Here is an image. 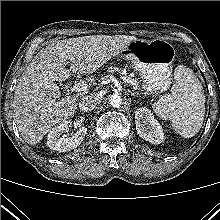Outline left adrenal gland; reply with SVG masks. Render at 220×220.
Instances as JSON below:
<instances>
[{
    "label": "left adrenal gland",
    "mask_w": 220,
    "mask_h": 220,
    "mask_svg": "<svg viewBox=\"0 0 220 220\" xmlns=\"http://www.w3.org/2000/svg\"><path fill=\"white\" fill-rule=\"evenodd\" d=\"M129 92H130L131 96H133V97L137 96L136 92H132V91H129Z\"/></svg>",
    "instance_id": "1"
}]
</instances>
